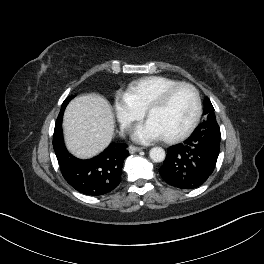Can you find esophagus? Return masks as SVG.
Returning a JSON list of instances; mask_svg holds the SVG:
<instances>
[{"mask_svg": "<svg viewBox=\"0 0 264 264\" xmlns=\"http://www.w3.org/2000/svg\"><path fill=\"white\" fill-rule=\"evenodd\" d=\"M142 150V148L141 147H136V146H129V152L130 153H135V152H139V151H141Z\"/></svg>", "mask_w": 264, "mask_h": 264, "instance_id": "1", "label": "esophagus"}]
</instances>
